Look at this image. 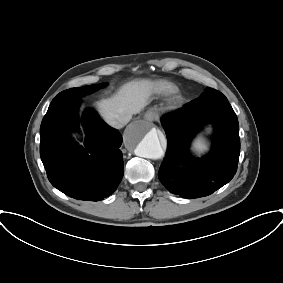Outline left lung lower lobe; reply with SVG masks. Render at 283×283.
Listing matches in <instances>:
<instances>
[{
  "label": "left lung lower lobe",
  "instance_id": "0a47b994",
  "mask_svg": "<svg viewBox=\"0 0 283 283\" xmlns=\"http://www.w3.org/2000/svg\"><path fill=\"white\" fill-rule=\"evenodd\" d=\"M235 117L227 98L203 94L161 118L168 148L158 177L171 193L204 197L233 178L240 155L239 126L232 123ZM206 123L215 125L212 152L201 159L192 158L190 140Z\"/></svg>",
  "mask_w": 283,
  "mask_h": 283
}]
</instances>
